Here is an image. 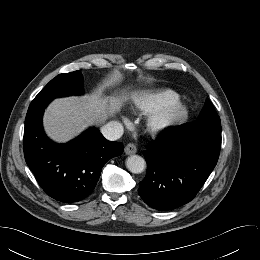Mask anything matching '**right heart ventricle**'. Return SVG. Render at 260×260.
Instances as JSON below:
<instances>
[{
    "mask_svg": "<svg viewBox=\"0 0 260 260\" xmlns=\"http://www.w3.org/2000/svg\"><path fill=\"white\" fill-rule=\"evenodd\" d=\"M178 97V94L170 89L140 92L134 95L133 105L143 113H150L159 106Z\"/></svg>",
    "mask_w": 260,
    "mask_h": 260,
    "instance_id": "right-heart-ventricle-1",
    "label": "right heart ventricle"
}]
</instances>
